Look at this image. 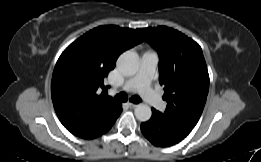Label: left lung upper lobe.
Segmentation results:
<instances>
[{
  "label": "left lung upper lobe",
  "instance_id": "obj_1",
  "mask_svg": "<svg viewBox=\"0 0 261 162\" xmlns=\"http://www.w3.org/2000/svg\"><path fill=\"white\" fill-rule=\"evenodd\" d=\"M159 53V81L168 102L164 115L194 127L204 109L209 74L201 47L169 27L138 29Z\"/></svg>",
  "mask_w": 261,
  "mask_h": 162
}]
</instances>
